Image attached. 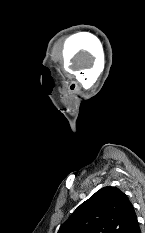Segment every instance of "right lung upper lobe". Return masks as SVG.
I'll return each instance as SVG.
<instances>
[{
    "label": "right lung upper lobe",
    "mask_w": 145,
    "mask_h": 233,
    "mask_svg": "<svg viewBox=\"0 0 145 233\" xmlns=\"http://www.w3.org/2000/svg\"><path fill=\"white\" fill-rule=\"evenodd\" d=\"M137 216L129 198L116 187H103L83 202L58 233H130Z\"/></svg>",
    "instance_id": "right-lung-upper-lobe-1"
}]
</instances>
